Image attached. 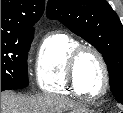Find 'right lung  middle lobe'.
<instances>
[{
    "label": "right lung middle lobe",
    "instance_id": "dd1d6c3e",
    "mask_svg": "<svg viewBox=\"0 0 123 113\" xmlns=\"http://www.w3.org/2000/svg\"><path fill=\"white\" fill-rule=\"evenodd\" d=\"M32 38L1 39V91L28 86L27 55Z\"/></svg>",
    "mask_w": 123,
    "mask_h": 113
}]
</instances>
